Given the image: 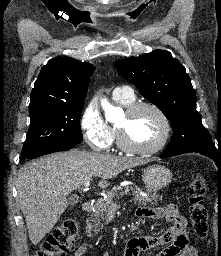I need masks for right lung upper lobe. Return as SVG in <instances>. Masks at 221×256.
I'll list each match as a JSON object with an SVG mask.
<instances>
[{"label":"right lung upper lobe","mask_w":221,"mask_h":256,"mask_svg":"<svg viewBox=\"0 0 221 256\" xmlns=\"http://www.w3.org/2000/svg\"><path fill=\"white\" fill-rule=\"evenodd\" d=\"M94 70L92 64L70 57L51 59L34 84L29 110L84 102Z\"/></svg>","instance_id":"obj_1"}]
</instances>
